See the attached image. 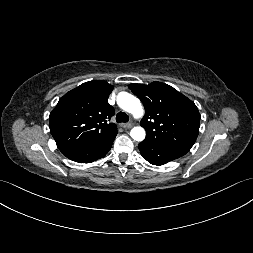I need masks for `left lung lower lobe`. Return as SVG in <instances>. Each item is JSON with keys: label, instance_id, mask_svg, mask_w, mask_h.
<instances>
[{"label": "left lung lower lobe", "instance_id": "1", "mask_svg": "<svg viewBox=\"0 0 253 253\" xmlns=\"http://www.w3.org/2000/svg\"><path fill=\"white\" fill-rule=\"evenodd\" d=\"M141 155L153 165H163L187 152L173 147L143 141L138 145Z\"/></svg>", "mask_w": 253, "mask_h": 253}]
</instances>
